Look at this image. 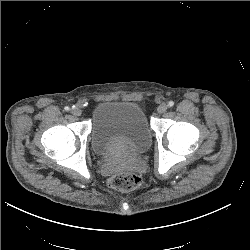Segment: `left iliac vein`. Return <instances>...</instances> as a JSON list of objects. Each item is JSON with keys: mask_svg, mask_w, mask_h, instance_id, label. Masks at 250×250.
<instances>
[{"mask_svg": "<svg viewBox=\"0 0 250 250\" xmlns=\"http://www.w3.org/2000/svg\"><path fill=\"white\" fill-rule=\"evenodd\" d=\"M166 110H167V105H166V104H161V105H159L158 108H157V112H158L159 114L165 113Z\"/></svg>", "mask_w": 250, "mask_h": 250, "instance_id": "left-iliac-vein-1", "label": "left iliac vein"}]
</instances>
